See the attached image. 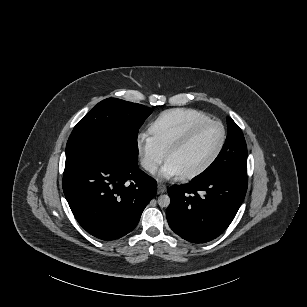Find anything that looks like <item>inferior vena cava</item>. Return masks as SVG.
<instances>
[{
  "label": "inferior vena cava",
  "mask_w": 307,
  "mask_h": 307,
  "mask_svg": "<svg viewBox=\"0 0 307 307\" xmlns=\"http://www.w3.org/2000/svg\"><path fill=\"white\" fill-rule=\"evenodd\" d=\"M140 164H141V167L147 171H150L152 173L157 172V169H158L157 164L150 162L147 159H142Z\"/></svg>",
  "instance_id": "1"
}]
</instances>
